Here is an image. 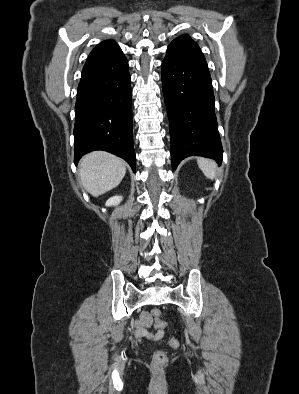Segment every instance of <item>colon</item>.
I'll return each mask as SVG.
<instances>
[{
	"instance_id": "1",
	"label": "colon",
	"mask_w": 299,
	"mask_h": 394,
	"mask_svg": "<svg viewBox=\"0 0 299 394\" xmlns=\"http://www.w3.org/2000/svg\"><path fill=\"white\" fill-rule=\"evenodd\" d=\"M152 316L156 319L157 326L164 329L166 328L167 324L164 321L159 320L161 316V312L158 309H154L152 311ZM169 345L171 347H178L179 343L176 339H169ZM167 361V355L163 351H157L152 355L151 364L155 367L162 366Z\"/></svg>"
}]
</instances>
